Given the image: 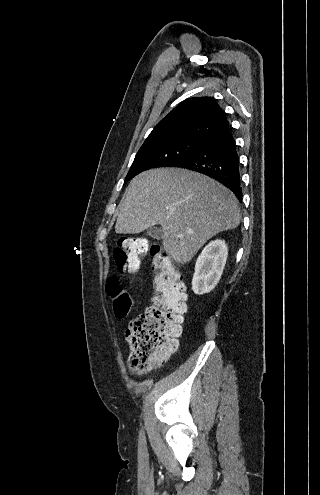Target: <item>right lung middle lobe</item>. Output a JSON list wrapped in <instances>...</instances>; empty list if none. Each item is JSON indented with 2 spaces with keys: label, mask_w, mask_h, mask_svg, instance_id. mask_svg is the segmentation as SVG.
<instances>
[{
  "label": "right lung middle lobe",
  "mask_w": 320,
  "mask_h": 495,
  "mask_svg": "<svg viewBox=\"0 0 320 495\" xmlns=\"http://www.w3.org/2000/svg\"><path fill=\"white\" fill-rule=\"evenodd\" d=\"M206 139L187 138L172 142L142 146L135 156L125 182L137 174L156 167H172L192 157Z\"/></svg>",
  "instance_id": "1"
}]
</instances>
